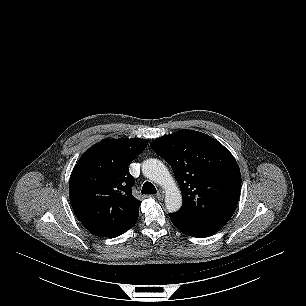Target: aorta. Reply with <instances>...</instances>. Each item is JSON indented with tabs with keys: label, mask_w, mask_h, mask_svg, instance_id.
Listing matches in <instances>:
<instances>
[{
	"label": "aorta",
	"mask_w": 306,
	"mask_h": 306,
	"mask_svg": "<svg viewBox=\"0 0 306 306\" xmlns=\"http://www.w3.org/2000/svg\"><path fill=\"white\" fill-rule=\"evenodd\" d=\"M142 173L165 190V206L168 212H177L182 206V195L166 166L158 159H147L142 164Z\"/></svg>",
	"instance_id": "aorta-1"
}]
</instances>
